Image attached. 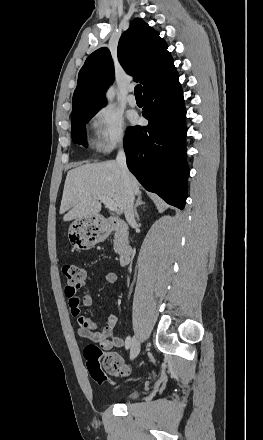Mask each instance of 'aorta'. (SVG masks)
<instances>
[{"label":"aorta","mask_w":263,"mask_h":440,"mask_svg":"<svg viewBox=\"0 0 263 440\" xmlns=\"http://www.w3.org/2000/svg\"><path fill=\"white\" fill-rule=\"evenodd\" d=\"M106 98L108 99L109 102H112L114 99V88L111 87L107 93H106Z\"/></svg>","instance_id":"1"}]
</instances>
